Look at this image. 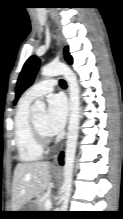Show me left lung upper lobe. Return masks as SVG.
Masks as SVG:
<instances>
[{"mask_svg": "<svg viewBox=\"0 0 123 219\" xmlns=\"http://www.w3.org/2000/svg\"><path fill=\"white\" fill-rule=\"evenodd\" d=\"M65 59L71 64L72 58L69 55L68 47L65 48ZM39 68V59L36 56H31L23 66V69L20 73L17 87H16V99L14 103L17 102L18 98L24 90H26L34 81L36 73Z\"/></svg>", "mask_w": 123, "mask_h": 219, "instance_id": "obj_1", "label": "left lung upper lobe"}]
</instances>
